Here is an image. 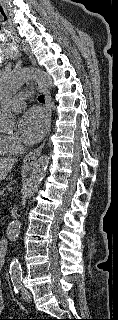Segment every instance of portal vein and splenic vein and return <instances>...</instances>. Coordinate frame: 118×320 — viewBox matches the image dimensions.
Instances as JSON below:
<instances>
[{
    "mask_svg": "<svg viewBox=\"0 0 118 320\" xmlns=\"http://www.w3.org/2000/svg\"><path fill=\"white\" fill-rule=\"evenodd\" d=\"M0 196H3V191H0Z\"/></svg>",
    "mask_w": 118,
    "mask_h": 320,
    "instance_id": "1",
    "label": "portal vein and splenic vein"
}]
</instances>
